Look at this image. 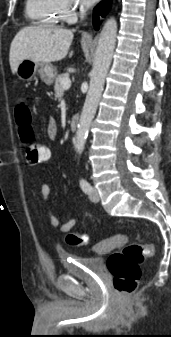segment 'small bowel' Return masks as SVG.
I'll return each instance as SVG.
<instances>
[{
	"instance_id": "obj_1",
	"label": "small bowel",
	"mask_w": 171,
	"mask_h": 337,
	"mask_svg": "<svg viewBox=\"0 0 171 337\" xmlns=\"http://www.w3.org/2000/svg\"><path fill=\"white\" fill-rule=\"evenodd\" d=\"M46 133L49 139L54 140L58 135V127L54 119H50L46 126ZM41 196L44 201H48L50 194H51V188L47 183H42L40 187ZM82 217V214L77 213L72 218H70L66 222H60L58 217L52 212H48V218L50 221V224L58 229L60 232L66 233L69 232L80 220Z\"/></svg>"
}]
</instances>
